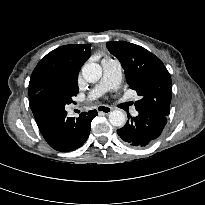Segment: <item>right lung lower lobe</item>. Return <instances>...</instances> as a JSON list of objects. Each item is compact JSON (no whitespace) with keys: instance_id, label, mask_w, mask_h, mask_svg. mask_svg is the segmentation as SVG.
Listing matches in <instances>:
<instances>
[{"instance_id":"obj_1","label":"right lung lower lobe","mask_w":205,"mask_h":205,"mask_svg":"<svg viewBox=\"0 0 205 205\" xmlns=\"http://www.w3.org/2000/svg\"><path fill=\"white\" fill-rule=\"evenodd\" d=\"M38 128L47 143L57 151L69 152L81 147L90 133L96 110L82 113L78 118L67 117L65 106L73 102L72 95L53 86L29 99Z\"/></svg>"}]
</instances>
